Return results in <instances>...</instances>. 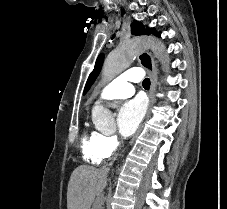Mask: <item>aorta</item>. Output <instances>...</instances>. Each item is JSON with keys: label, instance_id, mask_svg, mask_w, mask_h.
<instances>
[{"label": "aorta", "instance_id": "762f6f07", "mask_svg": "<svg viewBox=\"0 0 227 209\" xmlns=\"http://www.w3.org/2000/svg\"><path fill=\"white\" fill-rule=\"evenodd\" d=\"M145 48H150L161 63L165 64L169 62L163 43L149 37L134 38L122 43L109 53L103 65L102 80L105 82L109 81L121 73L129 67L133 58ZM107 112L105 108L95 106L92 110V117L97 118L99 115Z\"/></svg>", "mask_w": 227, "mask_h": 209}]
</instances>
